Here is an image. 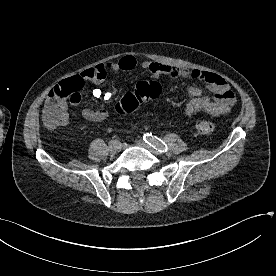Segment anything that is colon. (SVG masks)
I'll list each match as a JSON object with an SVG mask.
<instances>
[{
    "mask_svg": "<svg viewBox=\"0 0 276 276\" xmlns=\"http://www.w3.org/2000/svg\"><path fill=\"white\" fill-rule=\"evenodd\" d=\"M83 81L73 77L64 80L53 87L49 93L50 105L44 108V123L48 128L54 129L63 126L67 122V114L64 108L66 100H78L79 91L83 87ZM161 94V86L155 81L139 82L133 92L126 93L116 104V110L121 114H130L142 103L158 98ZM195 131L198 134L207 135L215 131L216 125L207 119H198L195 122Z\"/></svg>",
    "mask_w": 276,
    "mask_h": 276,
    "instance_id": "1",
    "label": "colon"
}]
</instances>
